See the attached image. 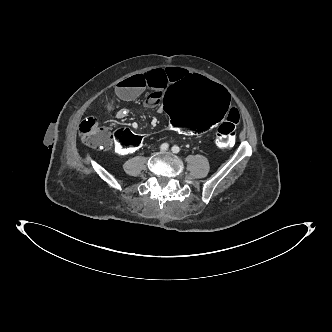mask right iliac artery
Listing matches in <instances>:
<instances>
[{"mask_svg": "<svg viewBox=\"0 0 332 332\" xmlns=\"http://www.w3.org/2000/svg\"><path fill=\"white\" fill-rule=\"evenodd\" d=\"M168 148H169L168 143H163V144L160 146V149H161V150H167Z\"/></svg>", "mask_w": 332, "mask_h": 332, "instance_id": "82829eb1", "label": "right iliac artery"}]
</instances>
